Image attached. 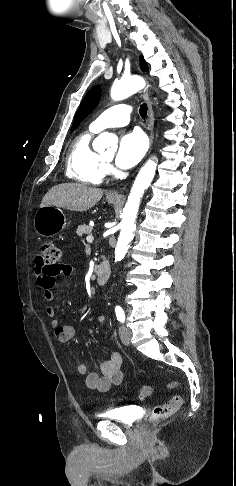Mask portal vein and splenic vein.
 Segmentation results:
<instances>
[{
	"instance_id": "portal-vein-and-splenic-vein-1",
	"label": "portal vein and splenic vein",
	"mask_w": 236,
	"mask_h": 486,
	"mask_svg": "<svg viewBox=\"0 0 236 486\" xmlns=\"http://www.w3.org/2000/svg\"><path fill=\"white\" fill-rule=\"evenodd\" d=\"M93 240H94V237L92 235H88L86 237V241L89 242V243L93 242Z\"/></svg>"
}]
</instances>
